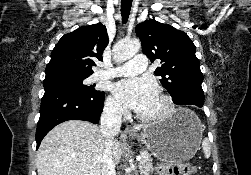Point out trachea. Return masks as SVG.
Segmentation results:
<instances>
[{"mask_svg":"<svg viewBox=\"0 0 251 175\" xmlns=\"http://www.w3.org/2000/svg\"><path fill=\"white\" fill-rule=\"evenodd\" d=\"M132 7V0H121V16L122 22L125 24L128 21Z\"/></svg>","mask_w":251,"mask_h":175,"instance_id":"3493384b","label":"trachea"}]
</instances>
